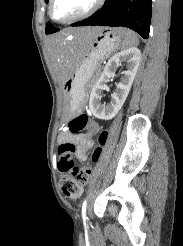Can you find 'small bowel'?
Instances as JSON below:
<instances>
[{
	"label": "small bowel",
	"instance_id": "1",
	"mask_svg": "<svg viewBox=\"0 0 183 246\" xmlns=\"http://www.w3.org/2000/svg\"><path fill=\"white\" fill-rule=\"evenodd\" d=\"M58 141L60 144L70 143L74 146L76 156L85 160L88 150L93 145V140L88 134H73L70 129L60 134Z\"/></svg>",
	"mask_w": 183,
	"mask_h": 246
}]
</instances>
